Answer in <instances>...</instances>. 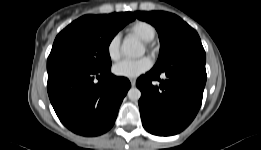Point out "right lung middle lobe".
<instances>
[{
    "instance_id": "obj_1",
    "label": "right lung middle lobe",
    "mask_w": 261,
    "mask_h": 150,
    "mask_svg": "<svg viewBox=\"0 0 261 150\" xmlns=\"http://www.w3.org/2000/svg\"><path fill=\"white\" fill-rule=\"evenodd\" d=\"M133 19L126 15H85L56 37L47 60V71L74 68L98 72L111 67L109 44Z\"/></svg>"
}]
</instances>
